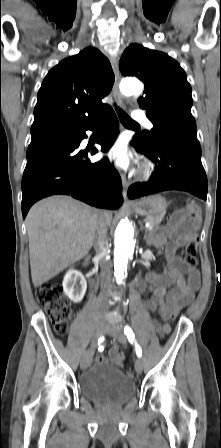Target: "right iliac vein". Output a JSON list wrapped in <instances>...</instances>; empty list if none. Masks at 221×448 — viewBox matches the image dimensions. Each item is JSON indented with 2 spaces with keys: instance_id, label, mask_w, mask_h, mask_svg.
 <instances>
[{
  "instance_id": "obj_1",
  "label": "right iliac vein",
  "mask_w": 221,
  "mask_h": 448,
  "mask_svg": "<svg viewBox=\"0 0 221 448\" xmlns=\"http://www.w3.org/2000/svg\"><path fill=\"white\" fill-rule=\"evenodd\" d=\"M104 332H105L104 323L101 321L97 322V324L95 326L92 343H91V348L95 347L97 340L101 337V335ZM91 358H92V349L90 351H88L87 353H85L82 357L81 364H80L82 370H86L89 367V365L91 363Z\"/></svg>"
}]
</instances>
